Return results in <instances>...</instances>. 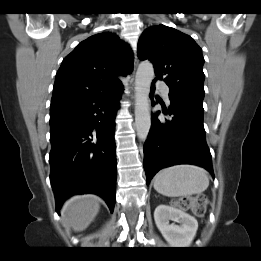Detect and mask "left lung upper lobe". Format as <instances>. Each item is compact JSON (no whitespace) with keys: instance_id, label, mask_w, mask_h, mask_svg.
<instances>
[{"instance_id":"obj_1","label":"left lung upper lobe","mask_w":261,"mask_h":261,"mask_svg":"<svg viewBox=\"0 0 261 261\" xmlns=\"http://www.w3.org/2000/svg\"><path fill=\"white\" fill-rule=\"evenodd\" d=\"M138 57L153 63L155 80H164L170 96L182 95L203 102L204 58L189 35L162 24L149 27L139 39Z\"/></svg>"}]
</instances>
